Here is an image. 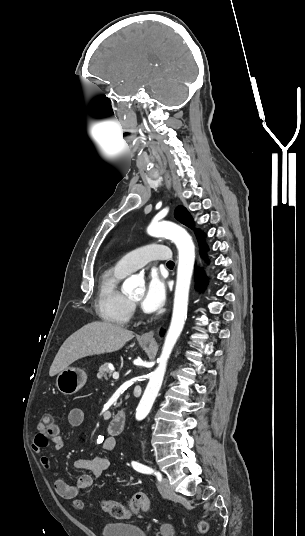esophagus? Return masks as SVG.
Returning a JSON list of instances; mask_svg holds the SVG:
<instances>
[{
	"instance_id": "1",
	"label": "esophagus",
	"mask_w": 305,
	"mask_h": 536,
	"mask_svg": "<svg viewBox=\"0 0 305 536\" xmlns=\"http://www.w3.org/2000/svg\"><path fill=\"white\" fill-rule=\"evenodd\" d=\"M164 178H165V181H166L167 188H168V190H170L171 189V177L168 176V175H165ZM153 337H154V331H148L147 333H144L141 336V340L143 342H149V341H153V339H154Z\"/></svg>"
}]
</instances>
